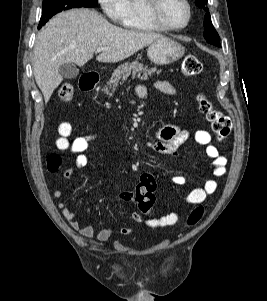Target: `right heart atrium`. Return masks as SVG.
I'll use <instances>...</instances> for the list:
<instances>
[{
	"label": "right heart atrium",
	"instance_id": "1",
	"mask_svg": "<svg viewBox=\"0 0 267 301\" xmlns=\"http://www.w3.org/2000/svg\"><path fill=\"white\" fill-rule=\"evenodd\" d=\"M98 4L111 21L124 24L127 15L126 0H98Z\"/></svg>",
	"mask_w": 267,
	"mask_h": 301
}]
</instances>
